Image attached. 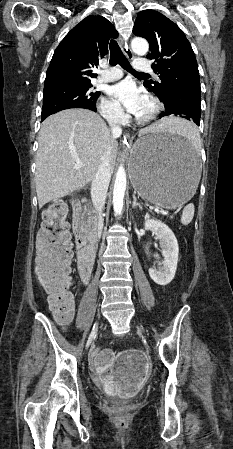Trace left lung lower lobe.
Masks as SVG:
<instances>
[{"instance_id": "left-lung-lower-lobe-1", "label": "left lung lower lobe", "mask_w": 233, "mask_h": 449, "mask_svg": "<svg viewBox=\"0 0 233 449\" xmlns=\"http://www.w3.org/2000/svg\"><path fill=\"white\" fill-rule=\"evenodd\" d=\"M159 98L165 106V111L160 114V118L165 116H178L194 121L199 126L201 116V108L199 105L187 100H181L176 96L172 100H166L163 95Z\"/></svg>"}]
</instances>
